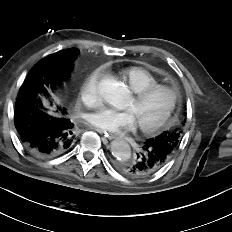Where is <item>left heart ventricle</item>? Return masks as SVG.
<instances>
[{
	"label": "left heart ventricle",
	"instance_id": "obj_1",
	"mask_svg": "<svg viewBox=\"0 0 232 232\" xmlns=\"http://www.w3.org/2000/svg\"><path fill=\"white\" fill-rule=\"evenodd\" d=\"M169 102V93L160 91L141 102H136L132 98L127 104L126 110L133 113L137 123L150 124L155 122L165 113Z\"/></svg>",
	"mask_w": 232,
	"mask_h": 232
}]
</instances>
